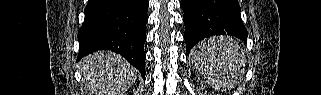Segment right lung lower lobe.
I'll use <instances>...</instances> for the list:
<instances>
[{
    "label": "right lung lower lobe",
    "mask_w": 321,
    "mask_h": 95,
    "mask_svg": "<svg viewBox=\"0 0 321 95\" xmlns=\"http://www.w3.org/2000/svg\"><path fill=\"white\" fill-rule=\"evenodd\" d=\"M148 0H89L78 32L77 60L98 50L122 55L145 77Z\"/></svg>",
    "instance_id": "1"
}]
</instances>
